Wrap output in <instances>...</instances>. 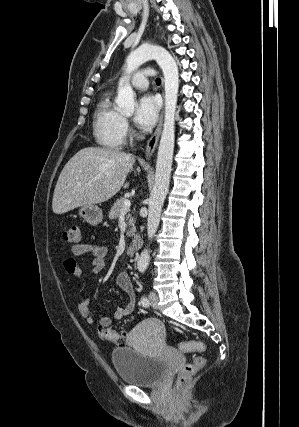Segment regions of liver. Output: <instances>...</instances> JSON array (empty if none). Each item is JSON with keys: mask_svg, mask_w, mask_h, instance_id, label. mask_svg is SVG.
<instances>
[{"mask_svg": "<svg viewBox=\"0 0 299 427\" xmlns=\"http://www.w3.org/2000/svg\"><path fill=\"white\" fill-rule=\"evenodd\" d=\"M135 157L119 150L87 147L64 166L53 195L52 209L63 214L74 208L105 202L122 187Z\"/></svg>", "mask_w": 299, "mask_h": 427, "instance_id": "liver-1", "label": "liver"}]
</instances>
